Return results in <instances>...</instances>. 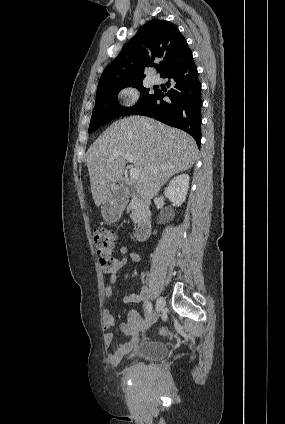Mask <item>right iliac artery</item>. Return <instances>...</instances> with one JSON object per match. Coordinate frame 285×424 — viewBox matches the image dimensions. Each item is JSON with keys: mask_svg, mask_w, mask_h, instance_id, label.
<instances>
[{"mask_svg": "<svg viewBox=\"0 0 285 424\" xmlns=\"http://www.w3.org/2000/svg\"><path fill=\"white\" fill-rule=\"evenodd\" d=\"M152 309H153L152 304H151V303H149V313H151V312H152Z\"/></svg>", "mask_w": 285, "mask_h": 424, "instance_id": "right-iliac-artery-1", "label": "right iliac artery"}]
</instances>
